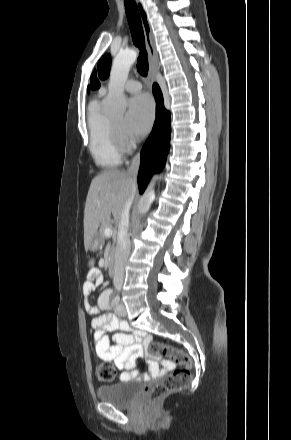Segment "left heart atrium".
Here are the masks:
<instances>
[{
    "label": "left heart atrium",
    "mask_w": 291,
    "mask_h": 440,
    "mask_svg": "<svg viewBox=\"0 0 291 440\" xmlns=\"http://www.w3.org/2000/svg\"><path fill=\"white\" fill-rule=\"evenodd\" d=\"M154 119V107L149 96L138 94L129 101V109L124 120V130L131 138L145 135Z\"/></svg>",
    "instance_id": "left-heart-atrium-1"
}]
</instances>
